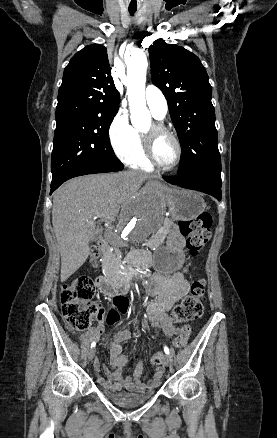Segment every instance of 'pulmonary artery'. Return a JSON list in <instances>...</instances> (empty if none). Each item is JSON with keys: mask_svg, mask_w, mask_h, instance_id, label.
Returning a JSON list of instances; mask_svg holds the SVG:
<instances>
[{"mask_svg": "<svg viewBox=\"0 0 277 438\" xmlns=\"http://www.w3.org/2000/svg\"><path fill=\"white\" fill-rule=\"evenodd\" d=\"M144 103L155 119L164 120L168 115V104L165 99V87H150Z\"/></svg>", "mask_w": 277, "mask_h": 438, "instance_id": "obj_1", "label": "pulmonary artery"}]
</instances>
